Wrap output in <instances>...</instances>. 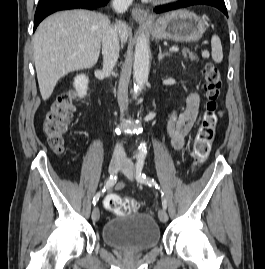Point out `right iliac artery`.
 <instances>
[{
	"label": "right iliac artery",
	"instance_id": "right-iliac-artery-1",
	"mask_svg": "<svg viewBox=\"0 0 265 269\" xmlns=\"http://www.w3.org/2000/svg\"><path fill=\"white\" fill-rule=\"evenodd\" d=\"M117 175H111L105 182L104 188L102 189V191L98 192L94 198H93V204L94 206L96 205V203L99 201V198L101 196V192H105L106 189L108 188H112L115 183L117 182Z\"/></svg>",
	"mask_w": 265,
	"mask_h": 269
}]
</instances>
